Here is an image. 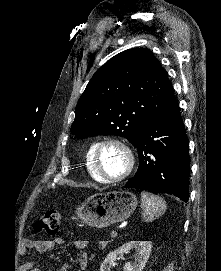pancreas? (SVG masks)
I'll use <instances>...</instances> for the list:
<instances>
[{"instance_id":"1","label":"pancreas","mask_w":221,"mask_h":271,"mask_svg":"<svg viewBox=\"0 0 221 271\" xmlns=\"http://www.w3.org/2000/svg\"><path fill=\"white\" fill-rule=\"evenodd\" d=\"M97 247H112V240L97 239Z\"/></svg>"}]
</instances>
